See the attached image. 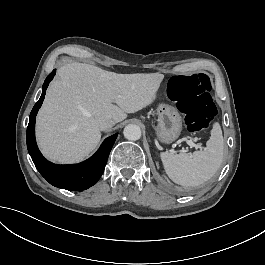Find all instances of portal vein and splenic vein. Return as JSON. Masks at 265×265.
<instances>
[{
    "instance_id": "1",
    "label": "portal vein and splenic vein",
    "mask_w": 265,
    "mask_h": 265,
    "mask_svg": "<svg viewBox=\"0 0 265 265\" xmlns=\"http://www.w3.org/2000/svg\"><path fill=\"white\" fill-rule=\"evenodd\" d=\"M187 144L189 145L190 149L186 150L189 155H192V148L195 146L194 142L192 140H187ZM198 148V146H196Z\"/></svg>"
}]
</instances>
